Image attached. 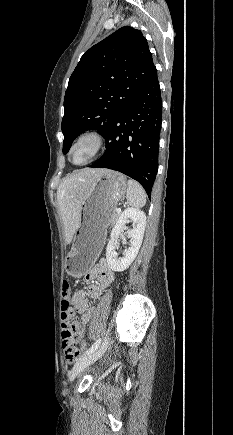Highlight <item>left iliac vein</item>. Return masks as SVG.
<instances>
[{"instance_id": "4c4485c4", "label": "left iliac vein", "mask_w": 233, "mask_h": 435, "mask_svg": "<svg viewBox=\"0 0 233 435\" xmlns=\"http://www.w3.org/2000/svg\"><path fill=\"white\" fill-rule=\"evenodd\" d=\"M107 347V343H103L99 348H97L95 351H93L90 354H86L79 358L76 363L74 364L72 370L69 373L70 380H74L75 377L84 370L87 366L95 362L97 359H99L103 353L105 352Z\"/></svg>"}]
</instances>
